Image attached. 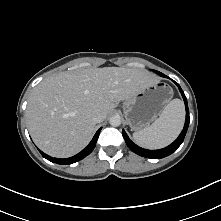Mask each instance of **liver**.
Here are the masks:
<instances>
[{
    "label": "liver",
    "mask_w": 221,
    "mask_h": 221,
    "mask_svg": "<svg viewBox=\"0 0 221 221\" xmlns=\"http://www.w3.org/2000/svg\"><path fill=\"white\" fill-rule=\"evenodd\" d=\"M158 82L150 72L124 67L89 68L60 73L32 91L26 118L31 137L45 153L73 156L91 140L95 114L105 117L120 101Z\"/></svg>",
    "instance_id": "1"
}]
</instances>
